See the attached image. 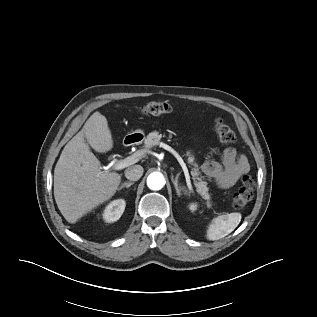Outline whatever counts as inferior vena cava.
I'll return each instance as SVG.
<instances>
[{
  "label": "inferior vena cava",
  "instance_id": "1",
  "mask_svg": "<svg viewBox=\"0 0 317 317\" xmlns=\"http://www.w3.org/2000/svg\"><path fill=\"white\" fill-rule=\"evenodd\" d=\"M143 175V167L141 165H133L125 170V177L131 181H137Z\"/></svg>",
  "mask_w": 317,
  "mask_h": 317
}]
</instances>
